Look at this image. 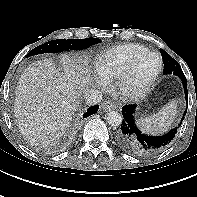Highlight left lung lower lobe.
<instances>
[{
	"mask_svg": "<svg viewBox=\"0 0 197 197\" xmlns=\"http://www.w3.org/2000/svg\"><path fill=\"white\" fill-rule=\"evenodd\" d=\"M181 80L188 106L187 81L186 78H182ZM135 112L136 105L123 106V120L116 137L118 144L127 152L137 156H150L165 149L174 139L177 129L174 128L168 133L158 136L145 134L137 126ZM186 113L187 110H185L184 115Z\"/></svg>",
	"mask_w": 197,
	"mask_h": 197,
	"instance_id": "1",
	"label": "left lung lower lobe"
}]
</instances>
